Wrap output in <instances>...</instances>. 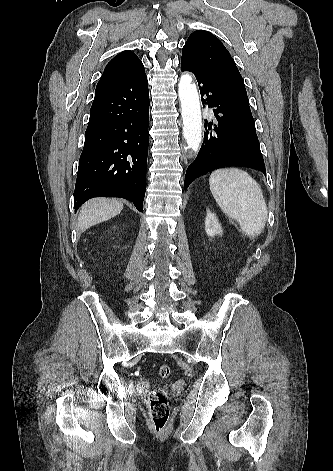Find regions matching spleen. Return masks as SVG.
Masks as SVG:
<instances>
[{
  "instance_id": "spleen-1",
  "label": "spleen",
  "mask_w": 333,
  "mask_h": 471,
  "mask_svg": "<svg viewBox=\"0 0 333 471\" xmlns=\"http://www.w3.org/2000/svg\"><path fill=\"white\" fill-rule=\"evenodd\" d=\"M211 193L221 210L236 220L249 238L261 234L268 210L258 183L244 170L218 169L209 178Z\"/></svg>"
}]
</instances>
